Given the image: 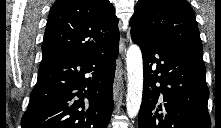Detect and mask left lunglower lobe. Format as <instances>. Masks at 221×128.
<instances>
[{"instance_id": "obj_1", "label": "left lung lower lobe", "mask_w": 221, "mask_h": 128, "mask_svg": "<svg viewBox=\"0 0 221 128\" xmlns=\"http://www.w3.org/2000/svg\"><path fill=\"white\" fill-rule=\"evenodd\" d=\"M131 37L143 56L139 128H210L203 58L166 41Z\"/></svg>"}]
</instances>
